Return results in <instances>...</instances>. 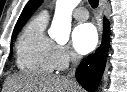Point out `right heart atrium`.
<instances>
[{
	"label": "right heart atrium",
	"mask_w": 127,
	"mask_h": 92,
	"mask_svg": "<svg viewBox=\"0 0 127 92\" xmlns=\"http://www.w3.org/2000/svg\"><path fill=\"white\" fill-rule=\"evenodd\" d=\"M54 56L58 70L66 69L71 63L78 59L77 55L67 45H56Z\"/></svg>",
	"instance_id": "1"
}]
</instances>
